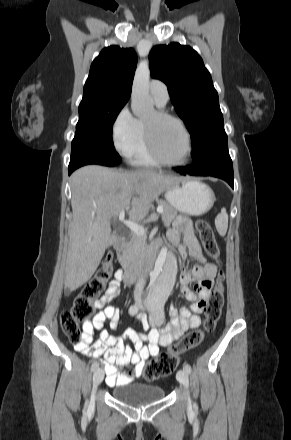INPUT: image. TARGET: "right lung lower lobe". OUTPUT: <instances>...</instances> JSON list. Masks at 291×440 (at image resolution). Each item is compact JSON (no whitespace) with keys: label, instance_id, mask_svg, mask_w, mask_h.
Masks as SVG:
<instances>
[{"label":"right lung lower lobe","instance_id":"right-lung-lower-lobe-1","mask_svg":"<svg viewBox=\"0 0 291 440\" xmlns=\"http://www.w3.org/2000/svg\"><path fill=\"white\" fill-rule=\"evenodd\" d=\"M87 164H99V165L110 166V167L115 166L104 159L90 157V156H76L74 158H71V161L69 163V167H68L69 175L77 168L84 166V165H87Z\"/></svg>","mask_w":291,"mask_h":440}]
</instances>
